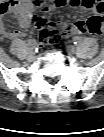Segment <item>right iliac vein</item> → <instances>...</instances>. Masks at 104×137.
Returning a JSON list of instances; mask_svg holds the SVG:
<instances>
[{
	"label": "right iliac vein",
	"mask_w": 104,
	"mask_h": 137,
	"mask_svg": "<svg viewBox=\"0 0 104 137\" xmlns=\"http://www.w3.org/2000/svg\"><path fill=\"white\" fill-rule=\"evenodd\" d=\"M27 59H28L29 61H34V60L36 59L35 53L31 52V53L28 55Z\"/></svg>",
	"instance_id": "63e3f726"
}]
</instances>
